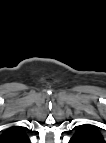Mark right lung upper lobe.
<instances>
[{"label": "right lung upper lobe", "mask_w": 106, "mask_h": 143, "mask_svg": "<svg viewBox=\"0 0 106 143\" xmlns=\"http://www.w3.org/2000/svg\"><path fill=\"white\" fill-rule=\"evenodd\" d=\"M27 138L23 127L12 126L0 134V143H23Z\"/></svg>", "instance_id": "1"}]
</instances>
